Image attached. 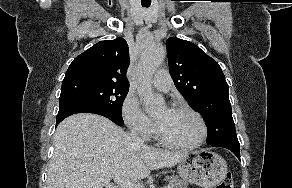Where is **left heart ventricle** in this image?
Listing matches in <instances>:
<instances>
[{"label":"left heart ventricle","instance_id":"obj_1","mask_svg":"<svg viewBox=\"0 0 292 188\" xmlns=\"http://www.w3.org/2000/svg\"><path fill=\"white\" fill-rule=\"evenodd\" d=\"M163 135L177 144L194 143L201 134V126L198 119L186 111H172L162 108L155 114Z\"/></svg>","mask_w":292,"mask_h":188}]
</instances>
